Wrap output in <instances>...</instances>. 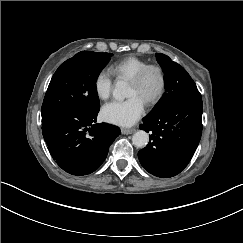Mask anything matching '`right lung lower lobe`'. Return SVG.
<instances>
[{"mask_svg": "<svg viewBox=\"0 0 243 243\" xmlns=\"http://www.w3.org/2000/svg\"><path fill=\"white\" fill-rule=\"evenodd\" d=\"M98 112L64 109L42 117L49 152L69 174L82 176L98 169L120 134L116 126L95 124Z\"/></svg>", "mask_w": 243, "mask_h": 243, "instance_id": "right-lung-lower-lobe-1", "label": "right lung lower lobe"}]
</instances>
